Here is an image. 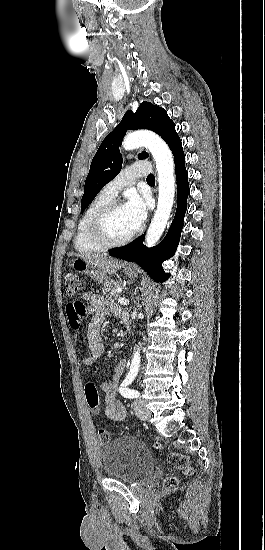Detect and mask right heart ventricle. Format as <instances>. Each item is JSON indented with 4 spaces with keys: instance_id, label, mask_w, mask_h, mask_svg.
<instances>
[{
    "instance_id": "obj_1",
    "label": "right heart ventricle",
    "mask_w": 265,
    "mask_h": 550,
    "mask_svg": "<svg viewBox=\"0 0 265 550\" xmlns=\"http://www.w3.org/2000/svg\"><path fill=\"white\" fill-rule=\"evenodd\" d=\"M112 197L106 195L102 191L96 195L86 207L82 214L76 228L74 236V245L80 253L97 252L103 249L100 245L95 243L88 234V224L94 213L105 204L112 201Z\"/></svg>"
}]
</instances>
